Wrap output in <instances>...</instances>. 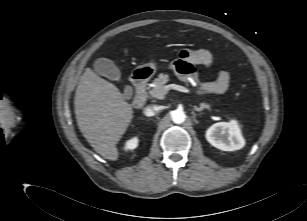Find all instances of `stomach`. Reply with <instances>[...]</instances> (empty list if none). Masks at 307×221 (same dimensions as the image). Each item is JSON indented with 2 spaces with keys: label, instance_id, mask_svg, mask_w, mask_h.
<instances>
[{
  "label": "stomach",
  "instance_id": "1",
  "mask_svg": "<svg viewBox=\"0 0 307 221\" xmlns=\"http://www.w3.org/2000/svg\"><path fill=\"white\" fill-rule=\"evenodd\" d=\"M145 67L151 69V71L154 72L156 70V63H150V64H147V65L142 66L140 68H145Z\"/></svg>",
  "mask_w": 307,
  "mask_h": 221
}]
</instances>
